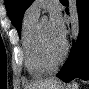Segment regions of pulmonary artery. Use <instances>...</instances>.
<instances>
[{"label": "pulmonary artery", "instance_id": "obj_1", "mask_svg": "<svg viewBox=\"0 0 89 89\" xmlns=\"http://www.w3.org/2000/svg\"><path fill=\"white\" fill-rule=\"evenodd\" d=\"M49 0H39V1H35L28 9H27V13L34 15V16H38L40 13V9L43 5L48 4Z\"/></svg>", "mask_w": 89, "mask_h": 89}]
</instances>
